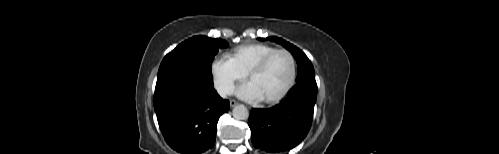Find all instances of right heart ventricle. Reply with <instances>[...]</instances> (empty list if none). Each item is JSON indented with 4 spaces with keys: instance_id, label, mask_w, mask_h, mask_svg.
Here are the masks:
<instances>
[{
    "instance_id": "right-heart-ventricle-1",
    "label": "right heart ventricle",
    "mask_w": 499,
    "mask_h": 154,
    "mask_svg": "<svg viewBox=\"0 0 499 154\" xmlns=\"http://www.w3.org/2000/svg\"><path fill=\"white\" fill-rule=\"evenodd\" d=\"M276 50L275 47L262 44L250 43L240 45L234 48L227 56L245 73H247L252 66L260 61L264 56Z\"/></svg>"
}]
</instances>
